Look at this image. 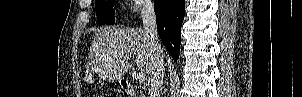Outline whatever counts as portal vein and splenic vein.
<instances>
[{"mask_svg":"<svg viewBox=\"0 0 302 97\" xmlns=\"http://www.w3.org/2000/svg\"><path fill=\"white\" fill-rule=\"evenodd\" d=\"M137 80L139 82H144L146 80V75L142 72L137 73Z\"/></svg>","mask_w":302,"mask_h":97,"instance_id":"portal-vein-and-splenic-vein-1","label":"portal vein and splenic vein"}]
</instances>
